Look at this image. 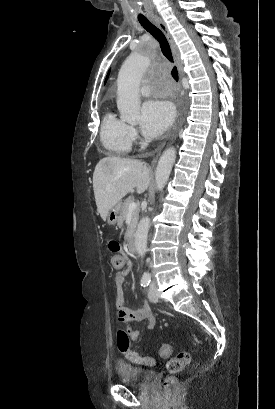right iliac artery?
Returning a JSON list of instances; mask_svg holds the SVG:
<instances>
[{
  "instance_id": "82829eb1",
  "label": "right iliac artery",
  "mask_w": 275,
  "mask_h": 409,
  "mask_svg": "<svg viewBox=\"0 0 275 409\" xmlns=\"http://www.w3.org/2000/svg\"><path fill=\"white\" fill-rule=\"evenodd\" d=\"M150 277L149 276H144L142 279H141V286L142 287H147L149 284H150Z\"/></svg>"
}]
</instances>
